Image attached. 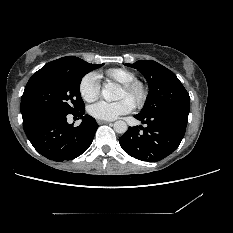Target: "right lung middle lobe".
<instances>
[{"label":"right lung middle lobe","instance_id":"right-lung-middle-lobe-1","mask_svg":"<svg viewBox=\"0 0 233 233\" xmlns=\"http://www.w3.org/2000/svg\"><path fill=\"white\" fill-rule=\"evenodd\" d=\"M102 65L73 56L65 63L43 66L29 79L21 97L23 123L48 113L75 114L83 110L82 77Z\"/></svg>","mask_w":233,"mask_h":233}]
</instances>
